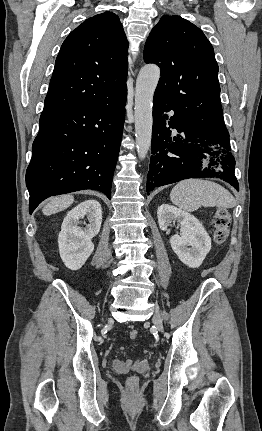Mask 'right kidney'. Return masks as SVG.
<instances>
[{"mask_svg":"<svg viewBox=\"0 0 262 431\" xmlns=\"http://www.w3.org/2000/svg\"><path fill=\"white\" fill-rule=\"evenodd\" d=\"M88 218L86 227H79L80 219ZM102 209L97 200H86L73 208L64 218L58 237L59 251L65 266L71 270L80 269L92 254V238L101 227Z\"/></svg>","mask_w":262,"mask_h":431,"instance_id":"1","label":"right kidney"}]
</instances>
